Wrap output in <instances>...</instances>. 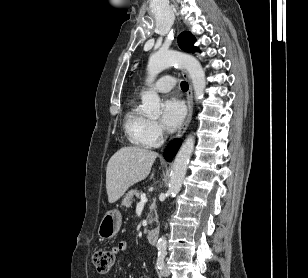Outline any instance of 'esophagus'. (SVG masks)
<instances>
[{
  "label": "esophagus",
  "mask_w": 308,
  "mask_h": 278,
  "mask_svg": "<svg viewBox=\"0 0 308 278\" xmlns=\"http://www.w3.org/2000/svg\"><path fill=\"white\" fill-rule=\"evenodd\" d=\"M181 74L182 76H184L189 84V89L187 91V97H186V102H187V108H188V112H187V116L185 118V121L183 122L182 126L180 127V129L178 130L177 134H176V138L181 137L185 131L187 130L189 123L191 121L192 118V113H193V88H192V83H191V79L188 75V73L185 70H181Z\"/></svg>",
  "instance_id": "34e87169"
}]
</instances>
